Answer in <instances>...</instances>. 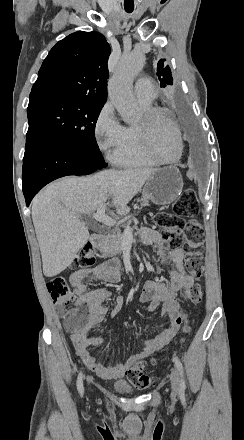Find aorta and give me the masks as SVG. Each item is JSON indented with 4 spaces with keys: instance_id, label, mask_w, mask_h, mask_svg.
Masks as SVG:
<instances>
[{
    "instance_id": "aorta-1",
    "label": "aorta",
    "mask_w": 244,
    "mask_h": 440,
    "mask_svg": "<svg viewBox=\"0 0 244 440\" xmlns=\"http://www.w3.org/2000/svg\"><path fill=\"white\" fill-rule=\"evenodd\" d=\"M145 62L144 55L132 52L122 57L114 75L108 83L110 100L125 122H132L137 113V103L132 87L135 76L141 71Z\"/></svg>"
}]
</instances>
